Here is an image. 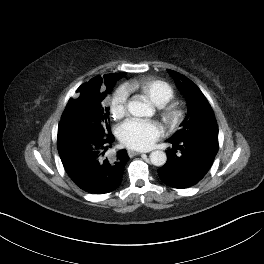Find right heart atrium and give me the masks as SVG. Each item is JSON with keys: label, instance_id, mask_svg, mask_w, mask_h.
I'll list each match as a JSON object with an SVG mask.
<instances>
[{"label": "right heart atrium", "instance_id": "1", "mask_svg": "<svg viewBox=\"0 0 264 264\" xmlns=\"http://www.w3.org/2000/svg\"><path fill=\"white\" fill-rule=\"evenodd\" d=\"M128 89L125 87L118 88L109 98V109L113 118L120 119L128 111Z\"/></svg>", "mask_w": 264, "mask_h": 264}]
</instances>
